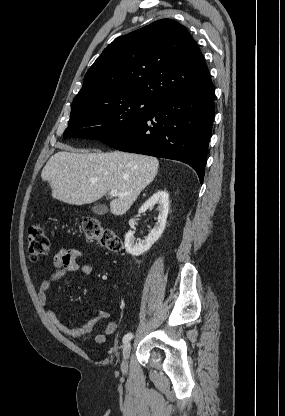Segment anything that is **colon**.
Instances as JSON below:
<instances>
[{"label": "colon", "mask_w": 285, "mask_h": 416, "mask_svg": "<svg viewBox=\"0 0 285 416\" xmlns=\"http://www.w3.org/2000/svg\"><path fill=\"white\" fill-rule=\"evenodd\" d=\"M80 227L88 242H95L99 247L119 252L122 248L117 234L110 228L103 227L100 221L93 217L80 220ZM27 248L31 261L45 256L50 250V241L44 229L39 225L31 226L27 233Z\"/></svg>", "instance_id": "colon-1"}]
</instances>
